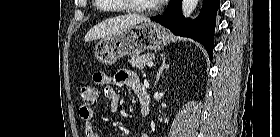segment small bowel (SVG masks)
<instances>
[{
    "mask_svg": "<svg viewBox=\"0 0 280 137\" xmlns=\"http://www.w3.org/2000/svg\"><path fill=\"white\" fill-rule=\"evenodd\" d=\"M93 80L96 84L104 87V96L113 112L118 110L121 96L120 93L112 87V84L119 87H127L136 95H138V91L142 86L137 75L128 69H120L116 71L113 76L106 72H97L94 74ZM79 113L80 117L85 122L86 137H99L93 124L95 117L93 110L87 106H82ZM140 137H149V135L147 133H142Z\"/></svg>",
    "mask_w": 280,
    "mask_h": 137,
    "instance_id": "small-bowel-1",
    "label": "small bowel"
}]
</instances>
